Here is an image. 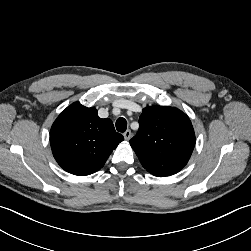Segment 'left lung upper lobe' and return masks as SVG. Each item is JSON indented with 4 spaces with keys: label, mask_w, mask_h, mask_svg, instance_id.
I'll return each mask as SVG.
<instances>
[{
    "label": "left lung upper lobe",
    "mask_w": 251,
    "mask_h": 251,
    "mask_svg": "<svg viewBox=\"0 0 251 251\" xmlns=\"http://www.w3.org/2000/svg\"><path fill=\"white\" fill-rule=\"evenodd\" d=\"M143 167L159 177L179 172L195 146L189 117L169 106H148L139 118V130L130 140Z\"/></svg>",
    "instance_id": "obj_1"
}]
</instances>
